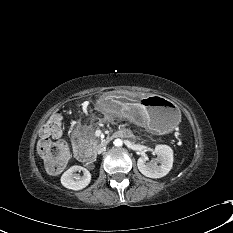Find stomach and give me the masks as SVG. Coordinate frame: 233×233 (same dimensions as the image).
<instances>
[{
	"label": "stomach",
	"instance_id": "stomach-1",
	"mask_svg": "<svg viewBox=\"0 0 233 233\" xmlns=\"http://www.w3.org/2000/svg\"><path fill=\"white\" fill-rule=\"evenodd\" d=\"M103 108L127 116L137 125L146 126L157 134H166L180 121V110L171 100L151 95L140 102L133 97H105Z\"/></svg>",
	"mask_w": 233,
	"mask_h": 233
}]
</instances>
